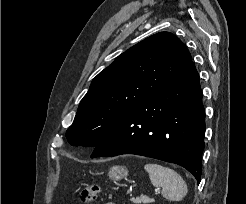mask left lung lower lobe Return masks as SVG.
<instances>
[{
    "instance_id": "0a47b994",
    "label": "left lung lower lobe",
    "mask_w": 246,
    "mask_h": 204,
    "mask_svg": "<svg viewBox=\"0 0 246 204\" xmlns=\"http://www.w3.org/2000/svg\"><path fill=\"white\" fill-rule=\"evenodd\" d=\"M205 111L191 61L122 118L95 146L91 158L136 154L178 164L200 183Z\"/></svg>"
}]
</instances>
